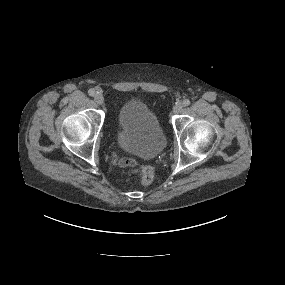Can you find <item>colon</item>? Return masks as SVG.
<instances>
[{"mask_svg":"<svg viewBox=\"0 0 285 285\" xmlns=\"http://www.w3.org/2000/svg\"><path fill=\"white\" fill-rule=\"evenodd\" d=\"M127 165H133L131 161H126ZM155 177V171L154 168L151 166H144L141 169V181L144 185L150 184Z\"/></svg>","mask_w":285,"mask_h":285,"instance_id":"obj_1","label":"colon"}]
</instances>
